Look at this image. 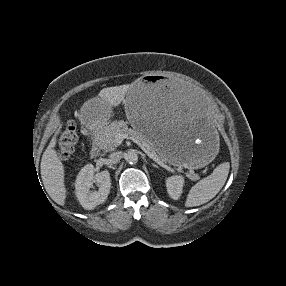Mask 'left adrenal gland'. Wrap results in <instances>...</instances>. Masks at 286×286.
I'll use <instances>...</instances> for the list:
<instances>
[{"mask_svg": "<svg viewBox=\"0 0 286 286\" xmlns=\"http://www.w3.org/2000/svg\"><path fill=\"white\" fill-rule=\"evenodd\" d=\"M152 166H153L154 168H159L158 165H156V164H154V163H152Z\"/></svg>", "mask_w": 286, "mask_h": 286, "instance_id": "left-adrenal-gland-1", "label": "left adrenal gland"}]
</instances>
